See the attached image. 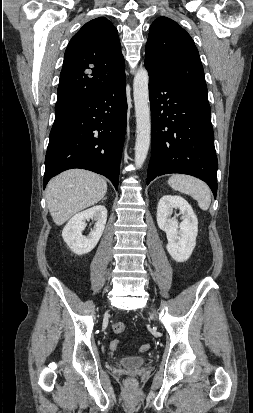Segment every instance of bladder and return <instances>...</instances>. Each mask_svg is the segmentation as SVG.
Returning <instances> with one entry per match:
<instances>
[{
  "label": "bladder",
  "mask_w": 253,
  "mask_h": 413,
  "mask_svg": "<svg viewBox=\"0 0 253 413\" xmlns=\"http://www.w3.org/2000/svg\"><path fill=\"white\" fill-rule=\"evenodd\" d=\"M119 361L120 364L126 367H139L146 362V358L144 356L130 355L121 357Z\"/></svg>",
  "instance_id": "1"
}]
</instances>
